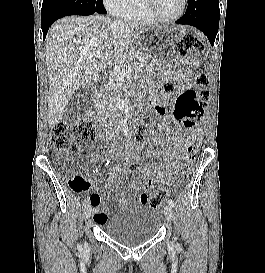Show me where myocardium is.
<instances>
[{
    "mask_svg": "<svg viewBox=\"0 0 265 273\" xmlns=\"http://www.w3.org/2000/svg\"><path fill=\"white\" fill-rule=\"evenodd\" d=\"M153 3H154V0H143L144 8H145L147 14L149 15V17L151 18V20L154 23H159V24L172 23V22H175V21L179 20L180 18H182L187 10V4H188L187 0H182V8H181L180 12L174 17L164 18V17H160L159 15L156 14V12L154 11V8H153Z\"/></svg>",
    "mask_w": 265,
    "mask_h": 273,
    "instance_id": "obj_1",
    "label": "myocardium"
}]
</instances>
